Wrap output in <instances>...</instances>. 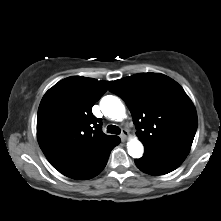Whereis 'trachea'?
Wrapping results in <instances>:
<instances>
[{
  "label": "trachea",
  "mask_w": 221,
  "mask_h": 221,
  "mask_svg": "<svg viewBox=\"0 0 221 221\" xmlns=\"http://www.w3.org/2000/svg\"><path fill=\"white\" fill-rule=\"evenodd\" d=\"M120 128L115 125H108L107 126V132L108 133H113V134H120Z\"/></svg>",
  "instance_id": "trachea-1"
}]
</instances>
